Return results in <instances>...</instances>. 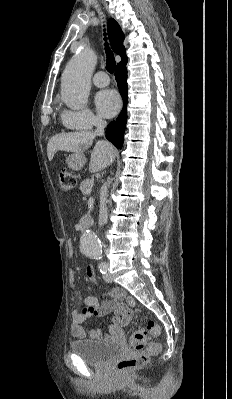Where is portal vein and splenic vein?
Wrapping results in <instances>:
<instances>
[{
  "label": "portal vein and splenic vein",
  "mask_w": 232,
  "mask_h": 399,
  "mask_svg": "<svg viewBox=\"0 0 232 399\" xmlns=\"http://www.w3.org/2000/svg\"><path fill=\"white\" fill-rule=\"evenodd\" d=\"M84 194H91V190H86V192H84Z\"/></svg>",
  "instance_id": "18ae733b"
}]
</instances>
